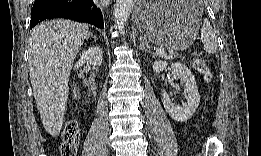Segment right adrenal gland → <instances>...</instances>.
Here are the masks:
<instances>
[{"label":"right adrenal gland","mask_w":261,"mask_h":156,"mask_svg":"<svg viewBox=\"0 0 261 156\" xmlns=\"http://www.w3.org/2000/svg\"><path fill=\"white\" fill-rule=\"evenodd\" d=\"M95 40H97V37L93 35L92 33L90 34Z\"/></svg>","instance_id":"obj_1"}]
</instances>
